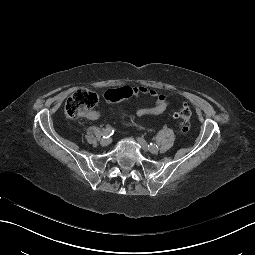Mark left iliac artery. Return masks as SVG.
<instances>
[{
  "label": "left iliac artery",
  "mask_w": 255,
  "mask_h": 255,
  "mask_svg": "<svg viewBox=\"0 0 255 255\" xmlns=\"http://www.w3.org/2000/svg\"><path fill=\"white\" fill-rule=\"evenodd\" d=\"M148 147H149L150 149H152V148L158 147V146H157L156 144L150 143V144L148 145Z\"/></svg>",
  "instance_id": "44dca946"
}]
</instances>
